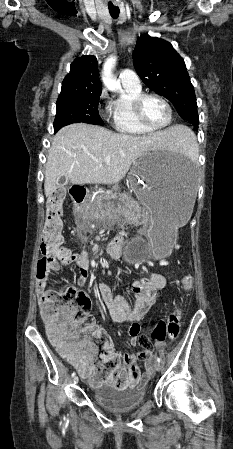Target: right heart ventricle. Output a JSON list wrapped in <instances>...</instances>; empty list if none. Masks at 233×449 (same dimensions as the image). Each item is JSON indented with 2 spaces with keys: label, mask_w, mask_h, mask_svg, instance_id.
I'll list each match as a JSON object with an SVG mask.
<instances>
[{
  "label": "right heart ventricle",
  "mask_w": 233,
  "mask_h": 449,
  "mask_svg": "<svg viewBox=\"0 0 233 449\" xmlns=\"http://www.w3.org/2000/svg\"><path fill=\"white\" fill-rule=\"evenodd\" d=\"M124 94L113 101L108 106V113L111 118L113 128L130 136H146L150 131L141 126L136 120L133 112V101L142 94V89L123 85Z\"/></svg>",
  "instance_id": "obj_1"
}]
</instances>
